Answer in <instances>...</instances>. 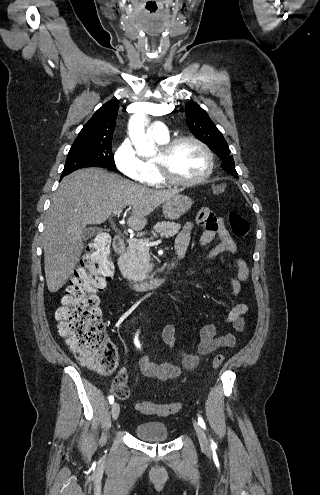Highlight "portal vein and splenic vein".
<instances>
[{
	"label": "portal vein and splenic vein",
	"mask_w": 320,
	"mask_h": 495,
	"mask_svg": "<svg viewBox=\"0 0 320 495\" xmlns=\"http://www.w3.org/2000/svg\"><path fill=\"white\" fill-rule=\"evenodd\" d=\"M121 212H122V210H117V211L114 212V215L115 216H119ZM160 243H161V240H158L156 242H146V243L140 242V244H141L142 247H144V246L149 247V246H152V245H155V244H160Z\"/></svg>",
	"instance_id": "1"
}]
</instances>
